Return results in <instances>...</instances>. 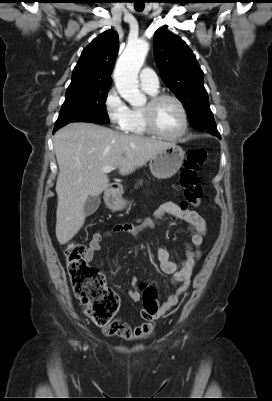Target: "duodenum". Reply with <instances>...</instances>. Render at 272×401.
<instances>
[{
  "label": "duodenum",
  "mask_w": 272,
  "mask_h": 401,
  "mask_svg": "<svg viewBox=\"0 0 272 401\" xmlns=\"http://www.w3.org/2000/svg\"><path fill=\"white\" fill-rule=\"evenodd\" d=\"M121 186H112L110 187L109 194L107 196V200L109 204H112L116 199L117 195L121 192Z\"/></svg>",
  "instance_id": "duodenum-1"
}]
</instances>
